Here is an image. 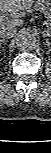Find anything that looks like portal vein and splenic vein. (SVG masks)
I'll list each match as a JSON object with an SVG mask.
<instances>
[{
  "instance_id": "obj_1",
  "label": "portal vein and splenic vein",
  "mask_w": 51,
  "mask_h": 153,
  "mask_svg": "<svg viewBox=\"0 0 51 153\" xmlns=\"http://www.w3.org/2000/svg\"><path fill=\"white\" fill-rule=\"evenodd\" d=\"M1 20H4V17H1Z\"/></svg>"
}]
</instances>
